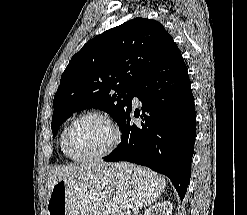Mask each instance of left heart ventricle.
Listing matches in <instances>:
<instances>
[{"label": "left heart ventricle", "mask_w": 247, "mask_h": 215, "mask_svg": "<svg viewBox=\"0 0 247 215\" xmlns=\"http://www.w3.org/2000/svg\"><path fill=\"white\" fill-rule=\"evenodd\" d=\"M112 137V131L106 123L96 118H86L74 126L71 147L78 156L92 155L105 150Z\"/></svg>", "instance_id": "1"}]
</instances>
